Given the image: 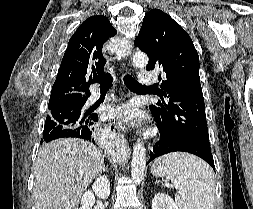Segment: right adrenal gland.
I'll return each instance as SVG.
<instances>
[{"instance_id":"1","label":"right adrenal gland","mask_w":253,"mask_h":209,"mask_svg":"<svg viewBox=\"0 0 253 209\" xmlns=\"http://www.w3.org/2000/svg\"><path fill=\"white\" fill-rule=\"evenodd\" d=\"M103 172H108L106 167H103Z\"/></svg>"}]
</instances>
